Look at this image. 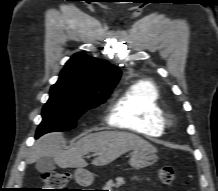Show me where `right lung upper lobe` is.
I'll return each mask as SVG.
<instances>
[{
    "label": "right lung upper lobe",
    "instance_id": "obj_1",
    "mask_svg": "<svg viewBox=\"0 0 218 191\" xmlns=\"http://www.w3.org/2000/svg\"><path fill=\"white\" fill-rule=\"evenodd\" d=\"M121 71L105 60L74 54L65 64L56 85L81 95H110Z\"/></svg>",
    "mask_w": 218,
    "mask_h": 191
}]
</instances>
